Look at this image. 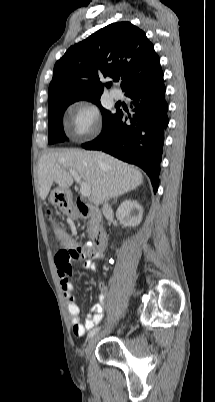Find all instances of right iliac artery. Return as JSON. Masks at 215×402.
I'll list each match as a JSON object with an SVG mask.
<instances>
[{
  "label": "right iliac artery",
  "instance_id": "obj_1",
  "mask_svg": "<svg viewBox=\"0 0 215 402\" xmlns=\"http://www.w3.org/2000/svg\"><path fill=\"white\" fill-rule=\"evenodd\" d=\"M100 330V327H96L92 331L89 332L88 337L91 338L93 337L98 331Z\"/></svg>",
  "mask_w": 215,
  "mask_h": 402
}]
</instances>
